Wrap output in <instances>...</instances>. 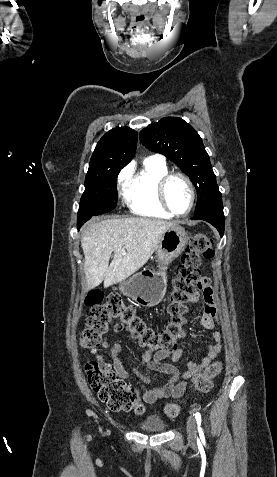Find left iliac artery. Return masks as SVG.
Wrapping results in <instances>:
<instances>
[{"label":"left iliac artery","mask_w":277,"mask_h":477,"mask_svg":"<svg viewBox=\"0 0 277 477\" xmlns=\"http://www.w3.org/2000/svg\"><path fill=\"white\" fill-rule=\"evenodd\" d=\"M195 418H196V421H197V424H198V431H199V434H200V436H202V435H203V432H202V430H201V428H200V424H201V415H200V413H199V412H196V414H195Z\"/></svg>","instance_id":"left-iliac-artery-1"}]
</instances>
